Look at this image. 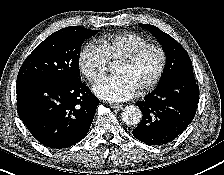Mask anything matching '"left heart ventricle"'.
<instances>
[{
	"mask_svg": "<svg viewBox=\"0 0 224 175\" xmlns=\"http://www.w3.org/2000/svg\"><path fill=\"white\" fill-rule=\"evenodd\" d=\"M159 54L156 50H149L133 65L117 63L115 74L126 77L136 89L149 82L159 66Z\"/></svg>",
	"mask_w": 224,
	"mask_h": 175,
	"instance_id": "left-heart-ventricle-1",
	"label": "left heart ventricle"
}]
</instances>
